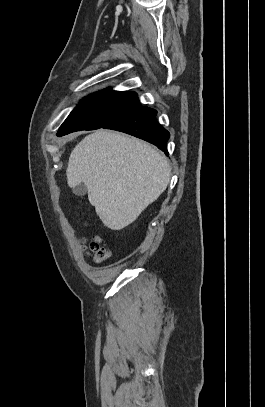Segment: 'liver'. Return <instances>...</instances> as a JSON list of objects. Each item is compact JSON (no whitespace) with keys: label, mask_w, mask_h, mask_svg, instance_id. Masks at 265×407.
Segmentation results:
<instances>
[{"label":"liver","mask_w":265,"mask_h":407,"mask_svg":"<svg viewBox=\"0 0 265 407\" xmlns=\"http://www.w3.org/2000/svg\"><path fill=\"white\" fill-rule=\"evenodd\" d=\"M69 187L83 183L103 224L120 230L131 224L167 188L171 168L149 143L100 129L72 150Z\"/></svg>","instance_id":"obj_1"}]
</instances>
